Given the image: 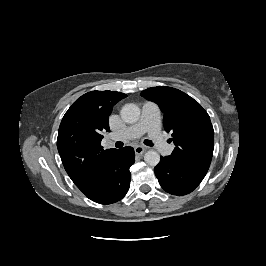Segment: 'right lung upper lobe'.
I'll return each instance as SVG.
<instances>
[{"label":"right lung upper lobe","instance_id":"right-lung-upper-lobe-1","mask_svg":"<svg viewBox=\"0 0 266 266\" xmlns=\"http://www.w3.org/2000/svg\"><path fill=\"white\" fill-rule=\"evenodd\" d=\"M126 96L113 91L88 92L71 105L61 121L58 152L69 177L85 195L98 185L117 151L103 149L102 133L109 131L113 106Z\"/></svg>","mask_w":266,"mask_h":266}]
</instances>
